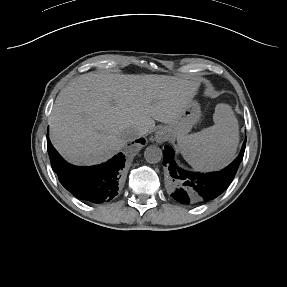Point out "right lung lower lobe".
<instances>
[{
    "mask_svg": "<svg viewBox=\"0 0 287 287\" xmlns=\"http://www.w3.org/2000/svg\"><path fill=\"white\" fill-rule=\"evenodd\" d=\"M137 142L144 143L141 138ZM47 149L53 170L61 184L74 196L88 203L110 201L118 194V184L124 168L122 153L105 164L77 167L65 162L47 137Z\"/></svg>",
    "mask_w": 287,
    "mask_h": 287,
    "instance_id": "right-lung-lower-lobe-1",
    "label": "right lung lower lobe"
}]
</instances>
